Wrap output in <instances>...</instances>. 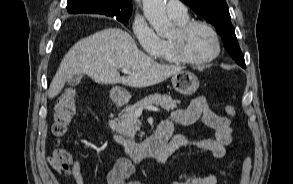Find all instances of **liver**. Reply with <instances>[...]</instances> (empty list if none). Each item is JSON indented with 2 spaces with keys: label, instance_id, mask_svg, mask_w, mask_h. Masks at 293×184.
<instances>
[{
  "label": "liver",
  "instance_id": "liver-1",
  "mask_svg": "<svg viewBox=\"0 0 293 184\" xmlns=\"http://www.w3.org/2000/svg\"><path fill=\"white\" fill-rule=\"evenodd\" d=\"M128 69L121 77L119 69ZM183 70L178 65H163L140 51L133 38L119 28H107L75 43L63 57L48 90L50 99L57 96L73 75L87 74L100 84L122 83L148 87Z\"/></svg>",
  "mask_w": 293,
  "mask_h": 184
}]
</instances>
